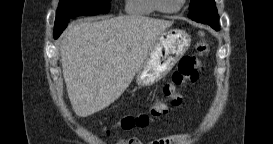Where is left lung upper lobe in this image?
<instances>
[{
  "label": "left lung upper lobe",
  "mask_w": 273,
  "mask_h": 144,
  "mask_svg": "<svg viewBox=\"0 0 273 144\" xmlns=\"http://www.w3.org/2000/svg\"><path fill=\"white\" fill-rule=\"evenodd\" d=\"M189 18L196 20L199 15L210 11H217L214 0H191Z\"/></svg>",
  "instance_id": "obj_1"
}]
</instances>
